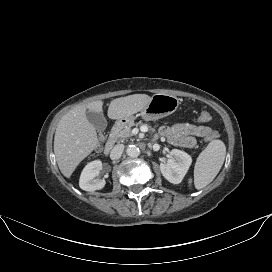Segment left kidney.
<instances>
[{"label":"left kidney","instance_id":"obj_1","mask_svg":"<svg viewBox=\"0 0 272 272\" xmlns=\"http://www.w3.org/2000/svg\"><path fill=\"white\" fill-rule=\"evenodd\" d=\"M171 158L167 163H160V170L166 180L172 184H179L186 175L192 158L184 151L173 149L170 152Z\"/></svg>","mask_w":272,"mask_h":272}]
</instances>
